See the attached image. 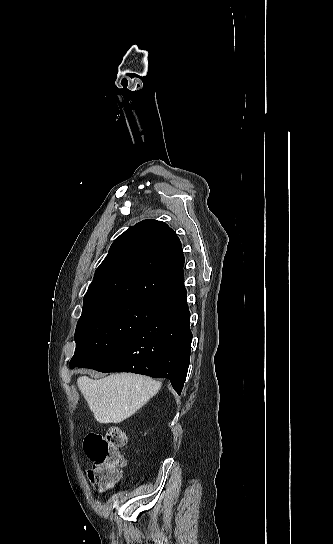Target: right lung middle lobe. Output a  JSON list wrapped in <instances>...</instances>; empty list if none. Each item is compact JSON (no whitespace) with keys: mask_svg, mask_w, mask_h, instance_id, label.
Segmentation results:
<instances>
[{"mask_svg":"<svg viewBox=\"0 0 333 544\" xmlns=\"http://www.w3.org/2000/svg\"><path fill=\"white\" fill-rule=\"evenodd\" d=\"M169 302L147 296H124L84 302L75 332L76 350L70 367L84 363L127 340Z\"/></svg>","mask_w":333,"mask_h":544,"instance_id":"obj_1","label":"right lung middle lobe"}]
</instances>
